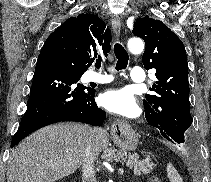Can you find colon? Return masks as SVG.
Wrapping results in <instances>:
<instances>
[{
	"mask_svg": "<svg viewBox=\"0 0 211 182\" xmlns=\"http://www.w3.org/2000/svg\"><path fill=\"white\" fill-rule=\"evenodd\" d=\"M150 182H160V180L157 177H151Z\"/></svg>",
	"mask_w": 211,
	"mask_h": 182,
	"instance_id": "1",
	"label": "colon"
}]
</instances>
